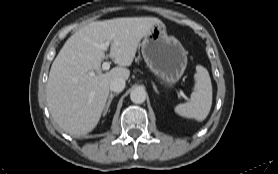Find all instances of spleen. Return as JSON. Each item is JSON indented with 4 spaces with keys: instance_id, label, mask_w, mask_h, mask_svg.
Returning <instances> with one entry per match:
<instances>
[{
    "instance_id": "obj_1",
    "label": "spleen",
    "mask_w": 278,
    "mask_h": 174,
    "mask_svg": "<svg viewBox=\"0 0 278 174\" xmlns=\"http://www.w3.org/2000/svg\"><path fill=\"white\" fill-rule=\"evenodd\" d=\"M212 106V84L206 68L198 66L195 74V87L188 103L179 104L175 112L186 118L203 121Z\"/></svg>"
}]
</instances>
